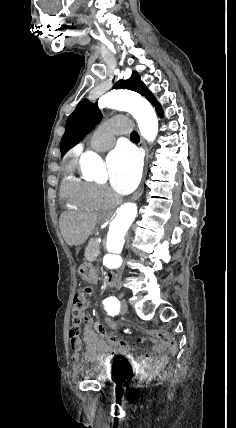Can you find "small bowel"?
Returning a JSON list of instances; mask_svg holds the SVG:
<instances>
[{"label": "small bowel", "mask_w": 236, "mask_h": 428, "mask_svg": "<svg viewBox=\"0 0 236 428\" xmlns=\"http://www.w3.org/2000/svg\"><path fill=\"white\" fill-rule=\"evenodd\" d=\"M83 341L86 350L83 360L86 362L124 359L125 362L136 370H146L161 366L166 361L164 348L160 344H154L152 353L136 357L131 353L130 345L117 336H109L103 325H96L91 316H86L84 321ZM72 346V359L75 363L81 358V340L78 336L70 337Z\"/></svg>", "instance_id": "obj_1"}]
</instances>
